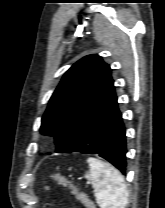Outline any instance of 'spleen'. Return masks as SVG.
<instances>
[{"label":"spleen","instance_id":"3e777b00","mask_svg":"<svg viewBox=\"0 0 165 208\" xmlns=\"http://www.w3.org/2000/svg\"><path fill=\"white\" fill-rule=\"evenodd\" d=\"M90 170L85 178L91 180L95 198L100 208H125L128 203V191L121 173L99 159L87 160Z\"/></svg>","mask_w":165,"mask_h":208}]
</instances>
